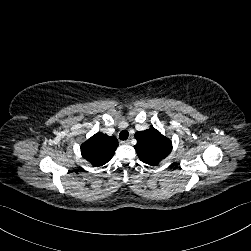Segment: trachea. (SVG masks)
Here are the masks:
<instances>
[{"mask_svg":"<svg viewBox=\"0 0 251 251\" xmlns=\"http://www.w3.org/2000/svg\"><path fill=\"white\" fill-rule=\"evenodd\" d=\"M129 137V132L127 130H122L119 134V139L124 141Z\"/></svg>","mask_w":251,"mask_h":251,"instance_id":"trachea-1","label":"trachea"}]
</instances>
